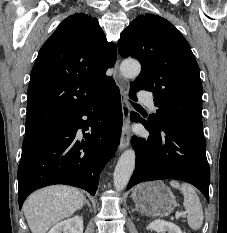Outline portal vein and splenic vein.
Wrapping results in <instances>:
<instances>
[{"label": "portal vein and splenic vein", "instance_id": "portal-vein-and-splenic-vein-1", "mask_svg": "<svg viewBox=\"0 0 227 233\" xmlns=\"http://www.w3.org/2000/svg\"><path fill=\"white\" fill-rule=\"evenodd\" d=\"M184 214L185 213H183V212H176V214H175L176 220H178L180 217L184 216Z\"/></svg>", "mask_w": 227, "mask_h": 233}]
</instances>
